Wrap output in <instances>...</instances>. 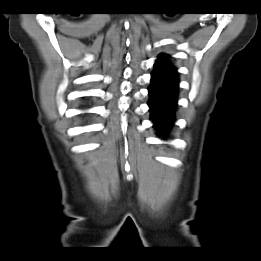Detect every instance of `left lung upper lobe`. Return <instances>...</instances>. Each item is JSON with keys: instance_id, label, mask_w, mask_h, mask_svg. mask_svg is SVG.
<instances>
[{"instance_id": "obj_1", "label": "left lung upper lobe", "mask_w": 261, "mask_h": 261, "mask_svg": "<svg viewBox=\"0 0 261 261\" xmlns=\"http://www.w3.org/2000/svg\"><path fill=\"white\" fill-rule=\"evenodd\" d=\"M158 59H161V60H164V61H168V55L161 54V55H159Z\"/></svg>"}]
</instances>
